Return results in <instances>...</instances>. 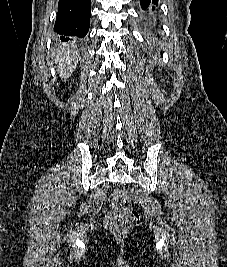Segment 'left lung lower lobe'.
<instances>
[{"label": "left lung lower lobe", "instance_id": "left-lung-lower-lobe-1", "mask_svg": "<svg viewBox=\"0 0 227 267\" xmlns=\"http://www.w3.org/2000/svg\"><path fill=\"white\" fill-rule=\"evenodd\" d=\"M141 8L145 11L151 9L152 11L155 10V6L158 4V0H140Z\"/></svg>", "mask_w": 227, "mask_h": 267}]
</instances>
